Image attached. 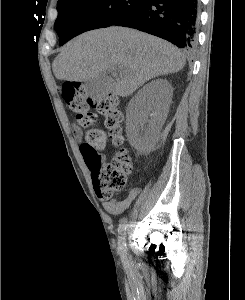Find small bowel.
Here are the masks:
<instances>
[{
  "label": "small bowel",
  "instance_id": "c3829d8e",
  "mask_svg": "<svg viewBox=\"0 0 245 300\" xmlns=\"http://www.w3.org/2000/svg\"><path fill=\"white\" fill-rule=\"evenodd\" d=\"M73 132L76 139L79 140L82 136L81 129L78 126H74ZM137 195H138V189L133 188L129 191L128 195L123 200H115V199L105 200L103 201L102 205L103 208L108 213L119 214L125 211L131 205V203L134 201Z\"/></svg>",
  "mask_w": 245,
  "mask_h": 300
}]
</instances>
